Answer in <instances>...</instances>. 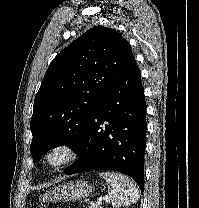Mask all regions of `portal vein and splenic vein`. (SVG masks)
<instances>
[{
    "label": "portal vein and splenic vein",
    "instance_id": "portal-vein-and-splenic-vein-1",
    "mask_svg": "<svg viewBox=\"0 0 199 208\" xmlns=\"http://www.w3.org/2000/svg\"><path fill=\"white\" fill-rule=\"evenodd\" d=\"M102 201H103V198H99L97 204L98 205H101L102 204Z\"/></svg>",
    "mask_w": 199,
    "mask_h": 208
}]
</instances>
